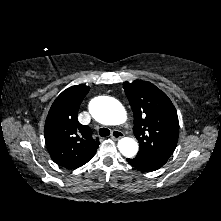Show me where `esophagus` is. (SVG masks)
<instances>
[{"label": "esophagus", "instance_id": "obj_1", "mask_svg": "<svg viewBox=\"0 0 221 221\" xmlns=\"http://www.w3.org/2000/svg\"><path fill=\"white\" fill-rule=\"evenodd\" d=\"M124 136L123 132L119 130H114L111 134V138L114 140H118Z\"/></svg>", "mask_w": 221, "mask_h": 221}]
</instances>
